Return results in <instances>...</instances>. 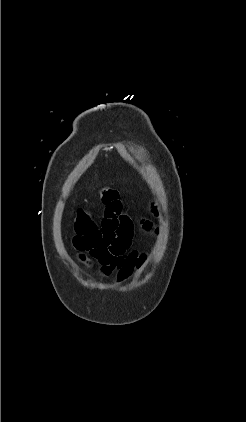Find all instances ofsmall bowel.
Listing matches in <instances>:
<instances>
[{"label":"small bowel","mask_w":246,"mask_h":422,"mask_svg":"<svg viewBox=\"0 0 246 422\" xmlns=\"http://www.w3.org/2000/svg\"><path fill=\"white\" fill-rule=\"evenodd\" d=\"M132 238L133 222L118 203L106 206L100 227L79 233L73 244L82 261L94 260L101 265L104 275L115 272L117 280L124 282L133 273L138 259V253L130 250Z\"/></svg>","instance_id":"c3829d8e"}]
</instances>
